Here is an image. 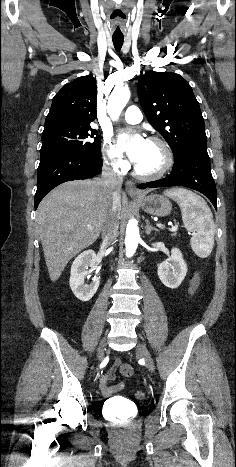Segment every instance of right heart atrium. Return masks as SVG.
<instances>
[{
  "label": "right heart atrium",
  "instance_id": "obj_1",
  "mask_svg": "<svg viewBox=\"0 0 236 467\" xmlns=\"http://www.w3.org/2000/svg\"><path fill=\"white\" fill-rule=\"evenodd\" d=\"M102 156L105 164L114 171H121L126 167V161L122 158L117 147L109 137L103 138Z\"/></svg>",
  "mask_w": 236,
  "mask_h": 467
}]
</instances>
